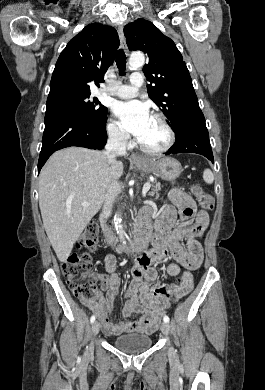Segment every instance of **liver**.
<instances>
[{
  "label": "liver",
  "instance_id": "6515ba94",
  "mask_svg": "<svg viewBox=\"0 0 265 390\" xmlns=\"http://www.w3.org/2000/svg\"><path fill=\"white\" fill-rule=\"evenodd\" d=\"M123 174L104 152L69 147L55 152L39 176V207L50 243L65 262L84 228L98 213L108 186ZM90 203L83 206L82 203Z\"/></svg>",
  "mask_w": 265,
  "mask_h": 390
}]
</instances>
